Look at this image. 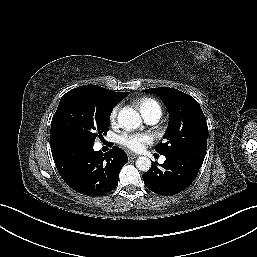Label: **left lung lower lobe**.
<instances>
[{
    "mask_svg": "<svg viewBox=\"0 0 257 257\" xmlns=\"http://www.w3.org/2000/svg\"><path fill=\"white\" fill-rule=\"evenodd\" d=\"M158 168L154 163L142 175L145 185L154 193L163 196L177 194L185 190L197 177L204 159L184 154H168Z\"/></svg>",
    "mask_w": 257,
    "mask_h": 257,
    "instance_id": "obj_1",
    "label": "left lung lower lobe"
}]
</instances>
